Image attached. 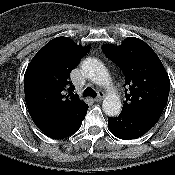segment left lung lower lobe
Instances as JSON below:
<instances>
[{
  "label": "left lung lower lobe",
  "mask_w": 175,
  "mask_h": 175,
  "mask_svg": "<svg viewBox=\"0 0 175 175\" xmlns=\"http://www.w3.org/2000/svg\"><path fill=\"white\" fill-rule=\"evenodd\" d=\"M163 110L142 109L137 111H122L119 116L108 118L112 134L120 139H135L144 135L159 120Z\"/></svg>",
  "instance_id": "0a47b994"
}]
</instances>
